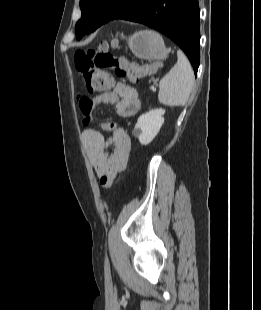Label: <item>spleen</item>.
Returning a JSON list of instances; mask_svg holds the SVG:
<instances>
[{"mask_svg": "<svg viewBox=\"0 0 261 310\" xmlns=\"http://www.w3.org/2000/svg\"><path fill=\"white\" fill-rule=\"evenodd\" d=\"M177 56V63L159 83L158 100L171 107L184 106L187 103L195 81L187 57L180 50L177 51Z\"/></svg>", "mask_w": 261, "mask_h": 310, "instance_id": "1", "label": "spleen"}]
</instances>
